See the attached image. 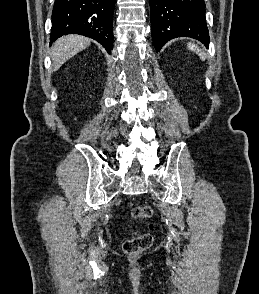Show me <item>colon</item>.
I'll return each instance as SVG.
<instances>
[{
    "mask_svg": "<svg viewBox=\"0 0 259 294\" xmlns=\"http://www.w3.org/2000/svg\"><path fill=\"white\" fill-rule=\"evenodd\" d=\"M152 210L148 206H135L131 209V216L137 221H144L151 217ZM136 230V228H134ZM153 243V237L149 233L136 232L132 237L125 240L123 250L127 254H138L148 249Z\"/></svg>",
    "mask_w": 259,
    "mask_h": 294,
    "instance_id": "1",
    "label": "colon"
}]
</instances>
